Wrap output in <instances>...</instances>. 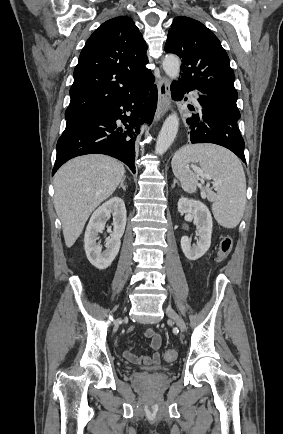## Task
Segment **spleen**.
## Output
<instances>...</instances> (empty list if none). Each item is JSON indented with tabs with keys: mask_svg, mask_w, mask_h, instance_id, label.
I'll list each match as a JSON object with an SVG mask.
<instances>
[{
	"mask_svg": "<svg viewBox=\"0 0 283 434\" xmlns=\"http://www.w3.org/2000/svg\"><path fill=\"white\" fill-rule=\"evenodd\" d=\"M199 162L214 181L217 194L212 212L225 228H235L241 221L246 203V178L240 160L230 151L212 144L188 145L172 159V170L184 191H196L198 179L190 170V163Z\"/></svg>",
	"mask_w": 283,
	"mask_h": 434,
	"instance_id": "obj_1",
	"label": "spleen"
}]
</instances>
